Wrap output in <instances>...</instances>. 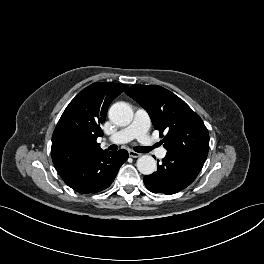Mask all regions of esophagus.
Listing matches in <instances>:
<instances>
[{
  "label": "esophagus",
  "instance_id": "34e87169",
  "mask_svg": "<svg viewBox=\"0 0 264 264\" xmlns=\"http://www.w3.org/2000/svg\"><path fill=\"white\" fill-rule=\"evenodd\" d=\"M129 156L130 157H132V158H138V157H140V153H137V152H135V151H132V150H129Z\"/></svg>",
  "mask_w": 264,
  "mask_h": 264
}]
</instances>
